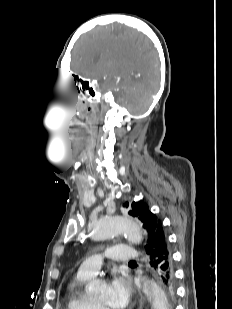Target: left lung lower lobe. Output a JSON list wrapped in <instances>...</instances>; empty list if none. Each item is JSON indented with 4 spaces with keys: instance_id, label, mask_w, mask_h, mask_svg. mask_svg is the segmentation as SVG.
<instances>
[{
    "instance_id": "obj_1",
    "label": "left lung lower lobe",
    "mask_w": 232,
    "mask_h": 309,
    "mask_svg": "<svg viewBox=\"0 0 232 309\" xmlns=\"http://www.w3.org/2000/svg\"><path fill=\"white\" fill-rule=\"evenodd\" d=\"M149 264L158 274L165 291L175 293L174 268L171 250L162 223L158 225L154 239L145 247Z\"/></svg>"
}]
</instances>
